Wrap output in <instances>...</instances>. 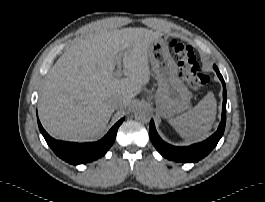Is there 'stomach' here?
<instances>
[{"label": "stomach", "instance_id": "obj_1", "mask_svg": "<svg viewBox=\"0 0 265 202\" xmlns=\"http://www.w3.org/2000/svg\"><path fill=\"white\" fill-rule=\"evenodd\" d=\"M148 59L158 80L155 95L157 113L164 118L185 111L190 103V92L180 80L178 66L169 53L168 43L155 39L148 47Z\"/></svg>", "mask_w": 265, "mask_h": 202}]
</instances>
